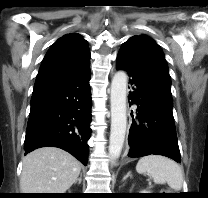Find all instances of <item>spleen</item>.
Returning a JSON list of instances; mask_svg holds the SVG:
<instances>
[{
  "mask_svg": "<svg viewBox=\"0 0 208 198\" xmlns=\"http://www.w3.org/2000/svg\"><path fill=\"white\" fill-rule=\"evenodd\" d=\"M136 170L140 174L149 175L154 183H167L175 191L182 188V170L177 163L167 157L160 155L142 157L136 165Z\"/></svg>",
  "mask_w": 208,
  "mask_h": 198,
  "instance_id": "3e777b00",
  "label": "spleen"
}]
</instances>
